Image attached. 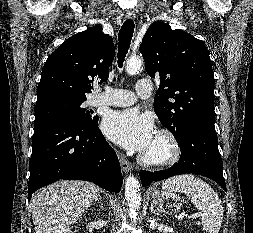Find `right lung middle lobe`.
<instances>
[{
    "mask_svg": "<svg viewBox=\"0 0 253 233\" xmlns=\"http://www.w3.org/2000/svg\"><path fill=\"white\" fill-rule=\"evenodd\" d=\"M86 99H71L65 97H52L35 105V121L39 122L59 119L75 125L86 126L96 121L98 116H92L90 111L83 108Z\"/></svg>",
    "mask_w": 253,
    "mask_h": 233,
    "instance_id": "obj_1",
    "label": "right lung middle lobe"
}]
</instances>
